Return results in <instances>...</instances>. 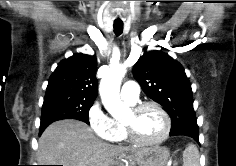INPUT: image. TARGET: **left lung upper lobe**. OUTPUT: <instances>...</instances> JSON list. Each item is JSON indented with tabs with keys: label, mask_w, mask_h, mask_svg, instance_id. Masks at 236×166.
I'll list each match as a JSON object with an SVG mask.
<instances>
[{
	"label": "left lung upper lobe",
	"mask_w": 236,
	"mask_h": 166,
	"mask_svg": "<svg viewBox=\"0 0 236 166\" xmlns=\"http://www.w3.org/2000/svg\"><path fill=\"white\" fill-rule=\"evenodd\" d=\"M133 74L145 94L161 104L172 125L195 118L191 84L182 65L161 51L145 53Z\"/></svg>",
	"instance_id": "1"
}]
</instances>
